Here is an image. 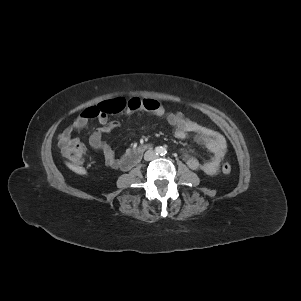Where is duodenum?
Returning a JSON list of instances; mask_svg holds the SVG:
<instances>
[{
  "instance_id": "1",
  "label": "duodenum",
  "mask_w": 301,
  "mask_h": 301,
  "mask_svg": "<svg viewBox=\"0 0 301 301\" xmlns=\"http://www.w3.org/2000/svg\"><path fill=\"white\" fill-rule=\"evenodd\" d=\"M145 150L146 146H139L126 153L123 158L124 169H130L135 164H137L140 161Z\"/></svg>"
}]
</instances>
